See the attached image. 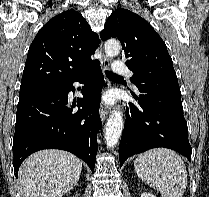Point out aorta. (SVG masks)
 Masks as SVG:
<instances>
[{"mask_svg":"<svg viewBox=\"0 0 209 197\" xmlns=\"http://www.w3.org/2000/svg\"><path fill=\"white\" fill-rule=\"evenodd\" d=\"M105 53L109 57H115L119 54L121 45L119 41L111 39L106 41L104 45ZM123 115L119 109H116L110 115L105 126V140L107 147L114 148L118 143L123 130Z\"/></svg>","mask_w":209,"mask_h":197,"instance_id":"aorta-1","label":"aorta"}]
</instances>
